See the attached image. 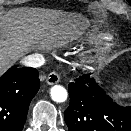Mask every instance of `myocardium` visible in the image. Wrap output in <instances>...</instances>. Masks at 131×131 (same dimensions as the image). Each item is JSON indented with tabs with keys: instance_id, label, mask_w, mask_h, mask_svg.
Instances as JSON below:
<instances>
[{
	"instance_id": "obj_1",
	"label": "myocardium",
	"mask_w": 131,
	"mask_h": 131,
	"mask_svg": "<svg viewBox=\"0 0 131 131\" xmlns=\"http://www.w3.org/2000/svg\"><path fill=\"white\" fill-rule=\"evenodd\" d=\"M107 52H108V48H105V49H103L100 52L95 53V54H86L82 57V60H83L84 63H87V64L95 63V62L100 61L105 56V54Z\"/></svg>"
}]
</instances>
